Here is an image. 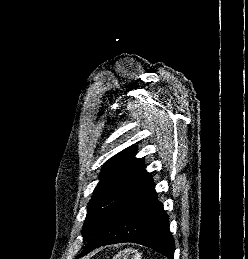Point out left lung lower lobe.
I'll use <instances>...</instances> for the list:
<instances>
[{
  "label": "left lung lower lobe",
  "mask_w": 248,
  "mask_h": 259,
  "mask_svg": "<svg viewBox=\"0 0 248 259\" xmlns=\"http://www.w3.org/2000/svg\"><path fill=\"white\" fill-rule=\"evenodd\" d=\"M133 242L152 248L174 259V240L169 218L155 190L129 204L88 240L80 256L104 245Z\"/></svg>",
  "instance_id": "obj_1"
}]
</instances>
